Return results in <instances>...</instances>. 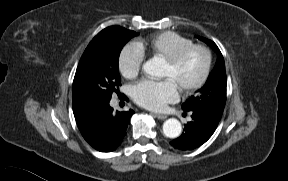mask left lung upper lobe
Wrapping results in <instances>:
<instances>
[{
	"mask_svg": "<svg viewBox=\"0 0 288 181\" xmlns=\"http://www.w3.org/2000/svg\"><path fill=\"white\" fill-rule=\"evenodd\" d=\"M197 38L210 45L218 53V59L205 85L182 104V109L185 112L203 111L221 119L226 102L227 85L224 59L213 41L200 36Z\"/></svg>",
	"mask_w": 288,
	"mask_h": 181,
	"instance_id": "5c2ea615",
	"label": "left lung upper lobe"
}]
</instances>
